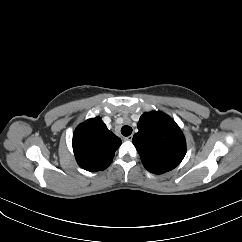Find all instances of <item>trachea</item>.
I'll list each match as a JSON object with an SVG mask.
<instances>
[{
  "instance_id": "3493384b",
  "label": "trachea",
  "mask_w": 242,
  "mask_h": 242,
  "mask_svg": "<svg viewBox=\"0 0 242 242\" xmlns=\"http://www.w3.org/2000/svg\"><path fill=\"white\" fill-rule=\"evenodd\" d=\"M121 133L123 136H129L132 133V128L130 126L124 125L121 128Z\"/></svg>"
}]
</instances>
